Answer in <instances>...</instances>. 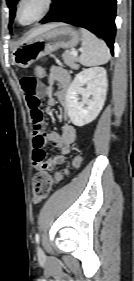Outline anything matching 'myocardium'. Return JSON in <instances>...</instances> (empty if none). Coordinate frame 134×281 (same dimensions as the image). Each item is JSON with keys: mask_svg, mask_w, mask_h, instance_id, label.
<instances>
[{"mask_svg": "<svg viewBox=\"0 0 134 281\" xmlns=\"http://www.w3.org/2000/svg\"><path fill=\"white\" fill-rule=\"evenodd\" d=\"M24 2H25V0H18V2L16 4V8H15V20L21 26H31V25L36 24L37 22L42 20L51 11V9H52V7L54 5V0H44V7L41 10V12L38 14V16L35 19H33L32 21L28 22V23H22L20 21V18H19V11H20L21 5Z\"/></svg>", "mask_w": 134, "mask_h": 281, "instance_id": "f54148a6", "label": "myocardium"}]
</instances>
